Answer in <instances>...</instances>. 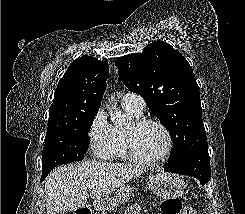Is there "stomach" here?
I'll list each match as a JSON object with an SVG mask.
<instances>
[{
  "label": "stomach",
  "instance_id": "0dacf381",
  "mask_svg": "<svg viewBox=\"0 0 245 214\" xmlns=\"http://www.w3.org/2000/svg\"><path fill=\"white\" fill-rule=\"evenodd\" d=\"M147 185L149 189L162 199H177L185 193L186 185L181 177L171 173H157L151 175ZM133 188L123 186L116 191L114 196L106 199L105 207L110 210L115 209L120 204L128 201Z\"/></svg>",
  "mask_w": 245,
  "mask_h": 214
}]
</instances>
